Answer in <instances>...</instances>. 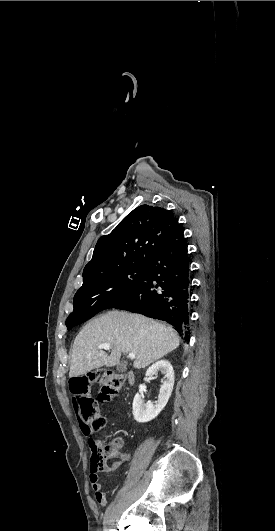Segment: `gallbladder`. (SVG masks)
<instances>
[{
    "mask_svg": "<svg viewBox=\"0 0 275 531\" xmlns=\"http://www.w3.org/2000/svg\"><path fill=\"white\" fill-rule=\"evenodd\" d=\"M126 365H127L126 361H121V363L117 365V371H119V373H125V371H127Z\"/></svg>",
    "mask_w": 275,
    "mask_h": 531,
    "instance_id": "obj_1",
    "label": "gallbladder"
}]
</instances>
